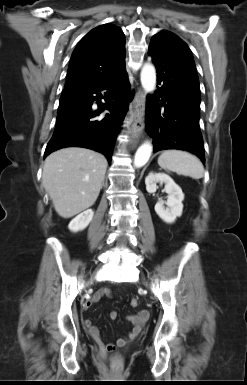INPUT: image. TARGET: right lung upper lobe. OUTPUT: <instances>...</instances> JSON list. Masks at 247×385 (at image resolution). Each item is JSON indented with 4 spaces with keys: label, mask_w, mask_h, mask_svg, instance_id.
Masks as SVG:
<instances>
[{
    "label": "right lung upper lobe",
    "mask_w": 247,
    "mask_h": 385,
    "mask_svg": "<svg viewBox=\"0 0 247 385\" xmlns=\"http://www.w3.org/2000/svg\"><path fill=\"white\" fill-rule=\"evenodd\" d=\"M124 67V33L115 25H100L85 35L76 46L63 92H83L109 80Z\"/></svg>",
    "instance_id": "1"
}]
</instances>
